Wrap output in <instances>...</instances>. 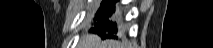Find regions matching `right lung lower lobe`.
Returning <instances> with one entry per match:
<instances>
[{"label":"right lung lower lobe","instance_id":"obj_1","mask_svg":"<svg viewBox=\"0 0 213 48\" xmlns=\"http://www.w3.org/2000/svg\"><path fill=\"white\" fill-rule=\"evenodd\" d=\"M118 0H103L100 9L97 11L94 21L97 20L99 27L93 28L92 30L98 33L102 38H117L116 34V23L109 21L108 17L112 16L115 12V3ZM109 31L106 34L105 31Z\"/></svg>","mask_w":213,"mask_h":48}]
</instances>
